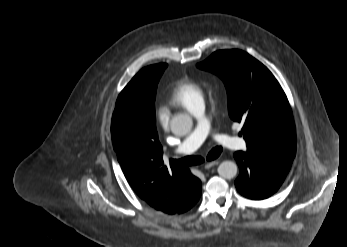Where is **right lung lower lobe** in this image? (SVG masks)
Returning <instances> with one entry per match:
<instances>
[{"label": "right lung lower lobe", "instance_id": "98d812e1", "mask_svg": "<svg viewBox=\"0 0 347 247\" xmlns=\"http://www.w3.org/2000/svg\"><path fill=\"white\" fill-rule=\"evenodd\" d=\"M201 195V191H199L185 206H183L177 213H183L190 208H192L196 202L199 200Z\"/></svg>", "mask_w": 347, "mask_h": 247}]
</instances>
